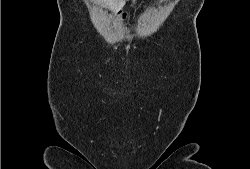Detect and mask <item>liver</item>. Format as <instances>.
<instances>
[{"mask_svg":"<svg viewBox=\"0 0 250 169\" xmlns=\"http://www.w3.org/2000/svg\"><path fill=\"white\" fill-rule=\"evenodd\" d=\"M95 2L105 6V8H109V10H116V8H120V6L125 4V0H95Z\"/></svg>","mask_w":250,"mask_h":169,"instance_id":"obj_1","label":"liver"}]
</instances>
